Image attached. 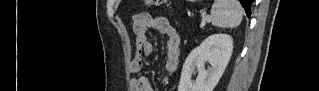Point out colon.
I'll return each instance as SVG.
<instances>
[{"label": "colon", "instance_id": "5ec220e1", "mask_svg": "<svg viewBox=\"0 0 319 91\" xmlns=\"http://www.w3.org/2000/svg\"><path fill=\"white\" fill-rule=\"evenodd\" d=\"M146 4L149 6H161L166 4L165 0H147Z\"/></svg>", "mask_w": 319, "mask_h": 91}]
</instances>
